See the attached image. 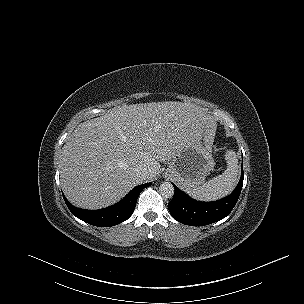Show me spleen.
Listing matches in <instances>:
<instances>
[{
  "instance_id": "obj_1",
  "label": "spleen",
  "mask_w": 304,
  "mask_h": 304,
  "mask_svg": "<svg viewBox=\"0 0 304 304\" xmlns=\"http://www.w3.org/2000/svg\"><path fill=\"white\" fill-rule=\"evenodd\" d=\"M227 169L221 175H218L202 186L185 191L192 198L201 201H213L220 199L235 188L240 174L237 155L233 150H228L225 154Z\"/></svg>"
}]
</instances>
